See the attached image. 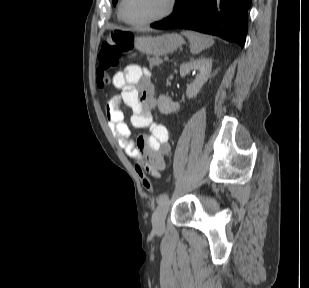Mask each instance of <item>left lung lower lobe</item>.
Listing matches in <instances>:
<instances>
[{"label":"left lung lower lobe","instance_id":"left-lung-lower-lobe-1","mask_svg":"<svg viewBox=\"0 0 309 288\" xmlns=\"http://www.w3.org/2000/svg\"><path fill=\"white\" fill-rule=\"evenodd\" d=\"M251 0H176L175 11L152 28H185L244 46Z\"/></svg>","mask_w":309,"mask_h":288}]
</instances>
